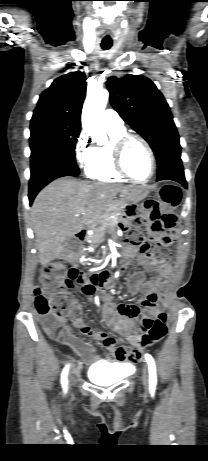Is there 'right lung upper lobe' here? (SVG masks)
<instances>
[{
    "label": "right lung upper lobe",
    "instance_id": "cb5924a9",
    "mask_svg": "<svg viewBox=\"0 0 208 461\" xmlns=\"http://www.w3.org/2000/svg\"><path fill=\"white\" fill-rule=\"evenodd\" d=\"M85 95L84 73L77 71L58 77L40 95L32 119H54L80 128Z\"/></svg>",
    "mask_w": 208,
    "mask_h": 461
}]
</instances>
